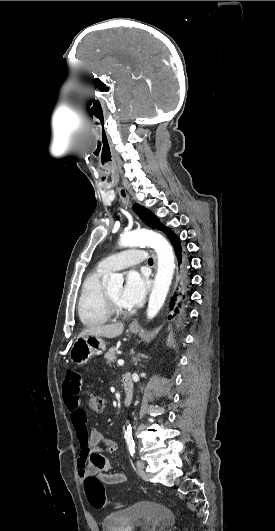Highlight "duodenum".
<instances>
[{"label":"duodenum","mask_w":275,"mask_h":531,"mask_svg":"<svg viewBox=\"0 0 275 531\" xmlns=\"http://www.w3.org/2000/svg\"><path fill=\"white\" fill-rule=\"evenodd\" d=\"M122 385L124 388L123 404L129 405L134 397V382L130 374H124L122 377Z\"/></svg>","instance_id":"1"}]
</instances>
